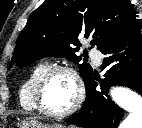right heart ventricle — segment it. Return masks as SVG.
<instances>
[{
    "instance_id": "1",
    "label": "right heart ventricle",
    "mask_w": 142,
    "mask_h": 128,
    "mask_svg": "<svg viewBox=\"0 0 142 128\" xmlns=\"http://www.w3.org/2000/svg\"><path fill=\"white\" fill-rule=\"evenodd\" d=\"M49 66V63L46 61L36 64L22 81L18 98L23 109L27 111H37L34 97L35 86L39 77Z\"/></svg>"
}]
</instances>
